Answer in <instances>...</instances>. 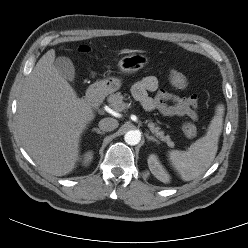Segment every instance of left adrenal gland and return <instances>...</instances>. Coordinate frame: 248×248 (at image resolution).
Wrapping results in <instances>:
<instances>
[{
  "label": "left adrenal gland",
  "instance_id": "obj_1",
  "mask_svg": "<svg viewBox=\"0 0 248 248\" xmlns=\"http://www.w3.org/2000/svg\"><path fill=\"white\" fill-rule=\"evenodd\" d=\"M146 138L148 141H153L156 142L157 144L159 143L156 138H154L153 136H149V134H146Z\"/></svg>",
  "mask_w": 248,
  "mask_h": 248
}]
</instances>
